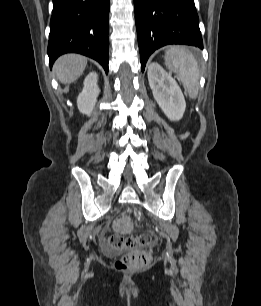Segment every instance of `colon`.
<instances>
[{
	"mask_svg": "<svg viewBox=\"0 0 261 306\" xmlns=\"http://www.w3.org/2000/svg\"><path fill=\"white\" fill-rule=\"evenodd\" d=\"M114 227L116 234L108 237V245L113 250H128L126 254L116 261V269L128 271L146 267L150 262L151 256L149 251L142 247L151 244L153 236L150 233L132 235L134 225L131 218L125 214H121L116 218Z\"/></svg>",
	"mask_w": 261,
	"mask_h": 306,
	"instance_id": "obj_1",
	"label": "colon"
}]
</instances>
